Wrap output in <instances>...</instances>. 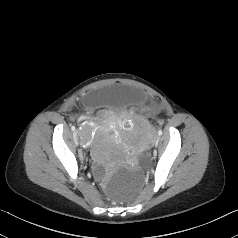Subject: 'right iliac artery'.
<instances>
[{
	"label": "right iliac artery",
	"mask_w": 238,
	"mask_h": 238,
	"mask_svg": "<svg viewBox=\"0 0 238 238\" xmlns=\"http://www.w3.org/2000/svg\"><path fill=\"white\" fill-rule=\"evenodd\" d=\"M71 130H72V131H74V130H75V127H74V126H72V127H71Z\"/></svg>",
	"instance_id": "obj_1"
}]
</instances>
